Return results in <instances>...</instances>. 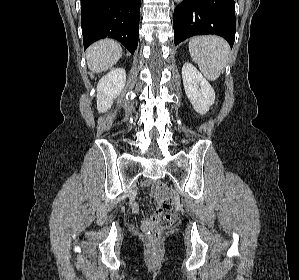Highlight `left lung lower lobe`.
Segmentation results:
<instances>
[{"label": "left lung lower lobe", "instance_id": "1", "mask_svg": "<svg viewBox=\"0 0 299 280\" xmlns=\"http://www.w3.org/2000/svg\"><path fill=\"white\" fill-rule=\"evenodd\" d=\"M174 43L194 35L216 34L232 47L235 39L234 0H183L174 12Z\"/></svg>", "mask_w": 299, "mask_h": 280}]
</instances>
